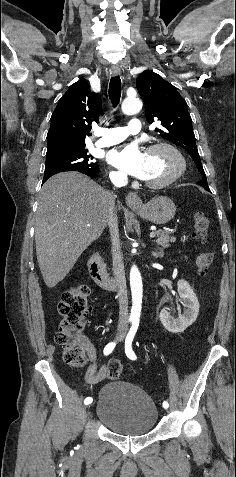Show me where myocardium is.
<instances>
[{
	"label": "myocardium",
	"instance_id": "f54148a6",
	"mask_svg": "<svg viewBox=\"0 0 236 477\" xmlns=\"http://www.w3.org/2000/svg\"><path fill=\"white\" fill-rule=\"evenodd\" d=\"M158 149H164L168 151L178 162V168L177 170L168 178L161 180V181H148L144 180V184L150 188H164L167 187L174 182H176L178 179H180L186 172L187 170V162L183 154L172 144L167 143V142H158L150 145L147 149V153L158 150Z\"/></svg>",
	"mask_w": 236,
	"mask_h": 477
}]
</instances>
